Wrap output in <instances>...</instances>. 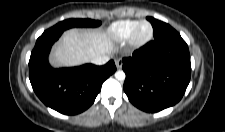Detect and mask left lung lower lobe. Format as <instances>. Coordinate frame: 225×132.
Instances as JSON below:
<instances>
[{
	"mask_svg": "<svg viewBox=\"0 0 225 132\" xmlns=\"http://www.w3.org/2000/svg\"><path fill=\"white\" fill-rule=\"evenodd\" d=\"M154 26L161 21L147 18ZM124 91L137 108L157 112L180 101L190 81L191 63L179 33L150 41L123 58Z\"/></svg>",
	"mask_w": 225,
	"mask_h": 132,
	"instance_id": "1",
	"label": "left lung lower lobe"
}]
</instances>
